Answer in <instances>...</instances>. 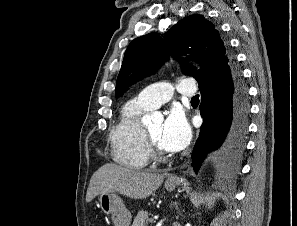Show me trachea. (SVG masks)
<instances>
[{
  "instance_id": "obj_1",
  "label": "trachea",
  "mask_w": 297,
  "mask_h": 226,
  "mask_svg": "<svg viewBox=\"0 0 297 226\" xmlns=\"http://www.w3.org/2000/svg\"><path fill=\"white\" fill-rule=\"evenodd\" d=\"M199 101V98L198 96H195L191 99V102H198Z\"/></svg>"
}]
</instances>
